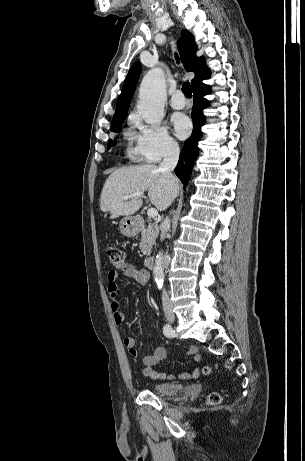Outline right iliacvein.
<instances>
[{"label": "right iliac vein", "mask_w": 305, "mask_h": 461, "mask_svg": "<svg viewBox=\"0 0 305 461\" xmlns=\"http://www.w3.org/2000/svg\"><path fill=\"white\" fill-rule=\"evenodd\" d=\"M166 318L168 322H173L174 321V315L171 311L167 310L166 311Z\"/></svg>", "instance_id": "right-iliac-vein-1"}]
</instances>
